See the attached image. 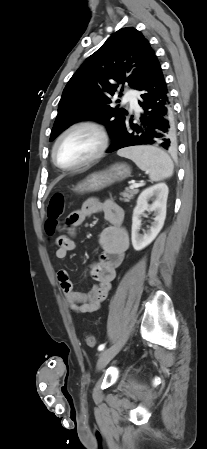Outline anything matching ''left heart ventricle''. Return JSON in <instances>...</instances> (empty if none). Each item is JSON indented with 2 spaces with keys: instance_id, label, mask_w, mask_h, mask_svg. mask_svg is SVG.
Instances as JSON below:
<instances>
[{
  "instance_id": "obj_1",
  "label": "left heart ventricle",
  "mask_w": 207,
  "mask_h": 449,
  "mask_svg": "<svg viewBox=\"0 0 207 449\" xmlns=\"http://www.w3.org/2000/svg\"><path fill=\"white\" fill-rule=\"evenodd\" d=\"M97 135L88 129H77L59 143L56 158L59 164L69 166L90 157L98 148Z\"/></svg>"
}]
</instances>
